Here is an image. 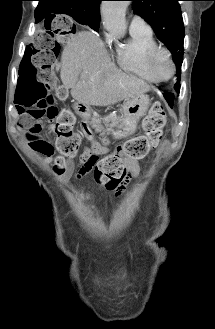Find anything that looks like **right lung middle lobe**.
<instances>
[{
	"mask_svg": "<svg viewBox=\"0 0 215 329\" xmlns=\"http://www.w3.org/2000/svg\"><path fill=\"white\" fill-rule=\"evenodd\" d=\"M67 15H70L74 18L75 21H77L80 24L88 25L90 28H92L94 31H98L99 29V22H89L83 18L81 14L65 10Z\"/></svg>",
	"mask_w": 215,
	"mask_h": 329,
	"instance_id": "obj_1",
	"label": "right lung middle lobe"
}]
</instances>
